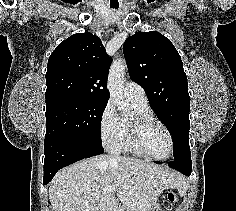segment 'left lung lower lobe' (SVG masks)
Returning a JSON list of instances; mask_svg holds the SVG:
<instances>
[{
    "instance_id": "obj_1",
    "label": "left lung lower lobe",
    "mask_w": 236,
    "mask_h": 211,
    "mask_svg": "<svg viewBox=\"0 0 236 211\" xmlns=\"http://www.w3.org/2000/svg\"><path fill=\"white\" fill-rule=\"evenodd\" d=\"M156 163L161 164L160 162H156ZM168 166H170L173 169L178 170L179 172H181L182 174H184L186 176H190V174H191V169H192L191 160L171 161L168 163Z\"/></svg>"
}]
</instances>
